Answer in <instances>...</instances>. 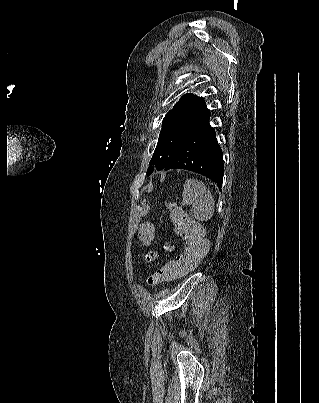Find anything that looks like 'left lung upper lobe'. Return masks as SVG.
I'll use <instances>...</instances> for the list:
<instances>
[{
  "label": "left lung upper lobe",
  "mask_w": 319,
  "mask_h": 403,
  "mask_svg": "<svg viewBox=\"0 0 319 403\" xmlns=\"http://www.w3.org/2000/svg\"><path fill=\"white\" fill-rule=\"evenodd\" d=\"M207 110L203 98L193 94L183 95L163 120L150 164L155 165L157 170L164 169L186 139L190 129ZM153 171L154 168L149 166L147 175H151Z\"/></svg>",
  "instance_id": "1"
}]
</instances>
